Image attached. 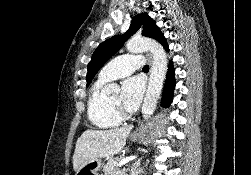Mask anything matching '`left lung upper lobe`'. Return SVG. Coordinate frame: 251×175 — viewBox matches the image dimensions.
<instances>
[{"label": "left lung upper lobe", "mask_w": 251, "mask_h": 175, "mask_svg": "<svg viewBox=\"0 0 251 175\" xmlns=\"http://www.w3.org/2000/svg\"><path fill=\"white\" fill-rule=\"evenodd\" d=\"M143 24L142 35L151 37L157 41L163 36L160 29L155 25V22L147 15L141 13L136 15L131 23L129 30L124 35H116L102 42L94 51L91 61L88 64L87 70V85H89L97 74L99 69L113 56L124 44V42L134 33L138 31Z\"/></svg>", "instance_id": "left-lung-upper-lobe-1"}]
</instances>
